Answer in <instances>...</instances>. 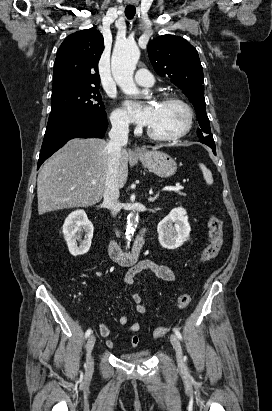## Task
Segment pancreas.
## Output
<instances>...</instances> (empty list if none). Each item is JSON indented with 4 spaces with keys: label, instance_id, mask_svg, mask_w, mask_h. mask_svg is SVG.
Wrapping results in <instances>:
<instances>
[{
    "label": "pancreas",
    "instance_id": "pancreas-1",
    "mask_svg": "<svg viewBox=\"0 0 272 411\" xmlns=\"http://www.w3.org/2000/svg\"><path fill=\"white\" fill-rule=\"evenodd\" d=\"M177 193H178L179 195H181V196H186V193H184V192L177 191Z\"/></svg>",
    "mask_w": 272,
    "mask_h": 411
}]
</instances>
